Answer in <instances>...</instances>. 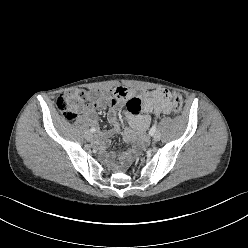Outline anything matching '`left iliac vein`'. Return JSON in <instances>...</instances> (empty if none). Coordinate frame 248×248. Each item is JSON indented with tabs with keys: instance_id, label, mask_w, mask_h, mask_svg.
I'll use <instances>...</instances> for the list:
<instances>
[{
	"instance_id": "1",
	"label": "left iliac vein",
	"mask_w": 248,
	"mask_h": 248,
	"mask_svg": "<svg viewBox=\"0 0 248 248\" xmlns=\"http://www.w3.org/2000/svg\"><path fill=\"white\" fill-rule=\"evenodd\" d=\"M160 138H161L160 132L156 131V132L154 133V135H153V140H154V141H159Z\"/></svg>"
}]
</instances>
